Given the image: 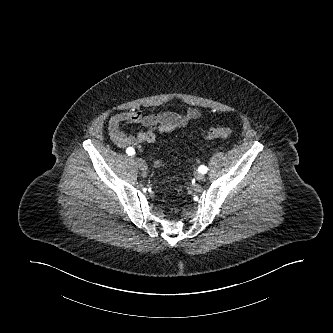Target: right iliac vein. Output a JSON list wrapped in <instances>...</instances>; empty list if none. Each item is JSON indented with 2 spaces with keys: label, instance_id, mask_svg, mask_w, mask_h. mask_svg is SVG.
Listing matches in <instances>:
<instances>
[{
  "label": "right iliac vein",
  "instance_id": "1",
  "mask_svg": "<svg viewBox=\"0 0 333 333\" xmlns=\"http://www.w3.org/2000/svg\"><path fill=\"white\" fill-rule=\"evenodd\" d=\"M135 161L140 170L145 171L147 169V165L143 159L135 157Z\"/></svg>",
  "mask_w": 333,
  "mask_h": 333
}]
</instances>
